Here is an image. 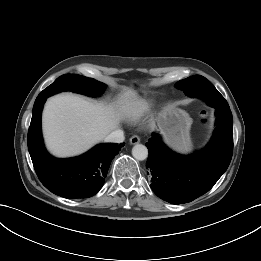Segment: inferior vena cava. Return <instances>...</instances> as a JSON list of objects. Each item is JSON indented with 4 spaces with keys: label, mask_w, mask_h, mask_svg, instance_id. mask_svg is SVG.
I'll list each match as a JSON object with an SVG mask.
<instances>
[{
    "label": "inferior vena cava",
    "mask_w": 261,
    "mask_h": 261,
    "mask_svg": "<svg viewBox=\"0 0 261 261\" xmlns=\"http://www.w3.org/2000/svg\"><path fill=\"white\" fill-rule=\"evenodd\" d=\"M124 139L125 137L123 131L117 129L108 134L104 140L105 142L121 143L124 141Z\"/></svg>",
    "instance_id": "obj_1"
}]
</instances>
